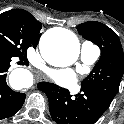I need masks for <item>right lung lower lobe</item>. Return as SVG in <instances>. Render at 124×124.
Listing matches in <instances>:
<instances>
[{
	"label": "right lung lower lobe",
	"instance_id": "1",
	"mask_svg": "<svg viewBox=\"0 0 124 124\" xmlns=\"http://www.w3.org/2000/svg\"><path fill=\"white\" fill-rule=\"evenodd\" d=\"M12 57L0 54V120L13 116L22 107L26 95L13 91L6 82Z\"/></svg>",
	"mask_w": 124,
	"mask_h": 124
}]
</instances>
